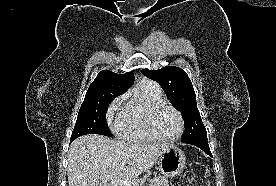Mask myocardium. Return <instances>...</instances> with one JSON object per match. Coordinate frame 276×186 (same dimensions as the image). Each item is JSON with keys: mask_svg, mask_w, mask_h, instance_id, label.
I'll list each match as a JSON object with an SVG mask.
<instances>
[{"mask_svg": "<svg viewBox=\"0 0 276 186\" xmlns=\"http://www.w3.org/2000/svg\"><path fill=\"white\" fill-rule=\"evenodd\" d=\"M163 107H169L170 109H172L177 114V116L179 117V120H180L179 132L175 136L170 137V138L162 137L161 135L158 134V132L156 131V128H155V117H156L157 113L159 112V110ZM146 124H147V128H148L150 135L155 140H158L161 142H174V141L180 139L185 132V120H184V117H183L181 111L179 109H177L173 104H171L167 101H161V102L155 103L149 109V111L147 113Z\"/></svg>", "mask_w": 276, "mask_h": 186, "instance_id": "myocardium-1", "label": "myocardium"}]
</instances>
